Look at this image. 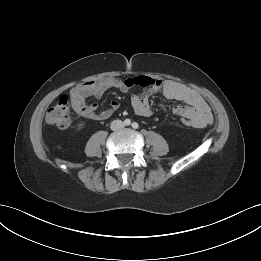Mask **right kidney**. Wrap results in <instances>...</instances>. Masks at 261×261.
I'll return each mask as SVG.
<instances>
[{"mask_svg":"<svg viewBox=\"0 0 261 261\" xmlns=\"http://www.w3.org/2000/svg\"><path fill=\"white\" fill-rule=\"evenodd\" d=\"M83 126V123L78 124V128L81 129Z\"/></svg>","mask_w":261,"mask_h":261,"instance_id":"ca27d5eb","label":"right kidney"}]
</instances>
